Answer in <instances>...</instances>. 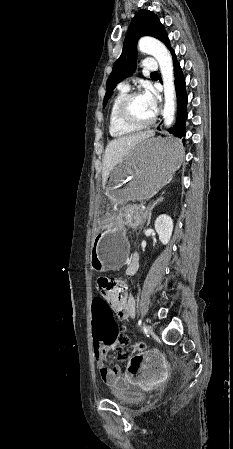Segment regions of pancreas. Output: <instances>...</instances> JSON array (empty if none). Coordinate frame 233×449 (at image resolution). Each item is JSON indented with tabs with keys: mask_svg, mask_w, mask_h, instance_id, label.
Wrapping results in <instances>:
<instances>
[{
	"mask_svg": "<svg viewBox=\"0 0 233 449\" xmlns=\"http://www.w3.org/2000/svg\"><path fill=\"white\" fill-rule=\"evenodd\" d=\"M146 218V211L140 209L138 206H128L119 214V220L133 228L144 224Z\"/></svg>",
	"mask_w": 233,
	"mask_h": 449,
	"instance_id": "cf45deb5",
	"label": "pancreas"
}]
</instances>
